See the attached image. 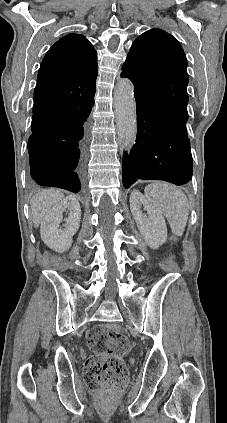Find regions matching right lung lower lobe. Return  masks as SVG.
<instances>
[{
  "label": "right lung lower lobe",
  "mask_w": 227,
  "mask_h": 423,
  "mask_svg": "<svg viewBox=\"0 0 227 423\" xmlns=\"http://www.w3.org/2000/svg\"><path fill=\"white\" fill-rule=\"evenodd\" d=\"M94 96L64 101L34 99L32 127L41 128L28 140L30 174L40 186L77 193L87 155V118Z\"/></svg>",
  "instance_id": "98d812e1"
}]
</instances>
